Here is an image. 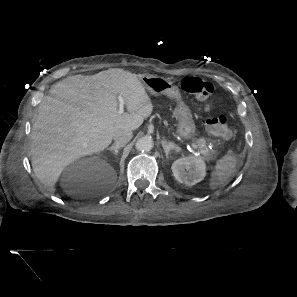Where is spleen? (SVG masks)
I'll list each match as a JSON object with an SVG mask.
<instances>
[{
    "instance_id": "3e777b00",
    "label": "spleen",
    "mask_w": 297,
    "mask_h": 297,
    "mask_svg": "<svg viewBox=\"0 0 297 297\" xmlns=\"http://www.w3.org/2000/svg\"><path fill=\"white\" fill-rule=\"evenodd\" d=\"M236 158L226 154L219 159L209 180V187L214 190L218 186L227 183L236 169Z\"/></svg>"
}]
</instances>
